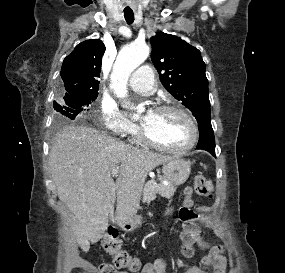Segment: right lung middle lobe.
Segmentation results:
<instances>
[{"label":"right lung middle lobe","mask_w":285,"mask_h":273,"mask_svg":"<svg viewBox=\"0 0 285 273\" xmlns=\"http://www.w3.org/2000/svg\"><path fill=\"white\" fill-rule=\"evenodd\" d=\"M97 96V92L75 95H61L59 97V103L54 102V109L58 112L56 115V120H74L80 112L89 110V106L95 101Z\"/></svg>","instance_id":"1"}]
</instances>
